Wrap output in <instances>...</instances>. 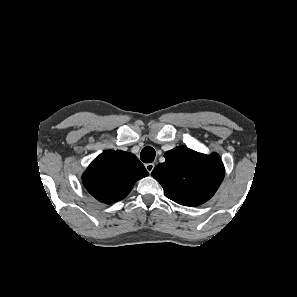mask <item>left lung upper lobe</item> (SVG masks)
<instances>
[{
    "mask_svg": "<svg viewBox=\"0 0 297 297\" xmlns=\"http://www.w3.org/2000/svg\"><path fill=\"white\" fill-rule=\"evenodd\" d=\"M151 175L162 185L165 195L185 206L209 200L220 186L225 170L220 156H209L179 146L164 154Z\"/></svg>",
    "mask_w": 297,
    "mask_h": 297,
    "instance_id": "1",
    "label": "left lung upper lobe"
}]
</instances>
